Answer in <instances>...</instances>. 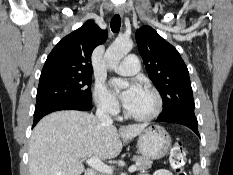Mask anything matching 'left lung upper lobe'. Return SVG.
Wrapping results in <instances>:
<instances>
[{"instance_id": "left-lung-upper-lobe-1", "label": "left lung upper lobe", "mask_w": 233, "mask_h": 175, "mask_svg": "<svg viewBox=\"0 0 233 175\" xmlns=\"http://www.w3.org/2000/svg\"><path fill=\"white\" fill-rule=\"evenodd\" d=\"M136 42L149 78L163 99L159 117L194 114L189 72L176 48L149 26L136 31Z\"/></svg>"}]
</instances>
